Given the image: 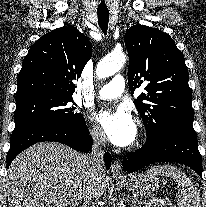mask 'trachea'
<instances>
[{
	"label": "trachea",
	"instance_id": "1",
	"mask_svg": "<svg viewBox=\"0 0 206 207\" xmlns=\"http://www.w3.org/2000/svg\"><path fill=\"white\" fill-rule=\"evenodd\" d=\"M98 23L104 34H106L109 22V11H97Z\"/></svg>",
	"mask_w": 206,
	"mask_h": 207
}]
</instances>
